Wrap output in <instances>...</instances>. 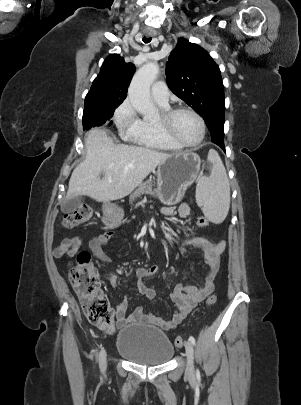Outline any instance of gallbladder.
<instances>
[{"label":"gallbladder","mask_w":301,"mask_h":405,"mask_svg":"<svg viewBox=\"0 0 301 405\" xmlns=\"http://www.w3.org/2000/svg\"><path fill=\"white\" fill-rule=\"evenodd\" d=\"M81 203H82V197L74 196V197L66 200L61 205V211L66 214L72 213L81 205Z\"/></svg>","instance_id":"gallbladder-1"}]
</instances>
